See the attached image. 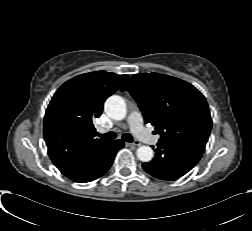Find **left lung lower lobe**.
Returning <instances> with one entry per match:
<instances>
[{"label": "left lung lower lobe", "mask_w": 252, "mask_h": 231, "mask_svg": "<svg viewBox=\"0 0 252 231\" xmlns=\"http://www.w3.org/2000/svg\"><path fill=\"white\" fill-rule=\"evenodd\" d=\"M157 145L155 158L142 166L147 173L162 180L185 175L196 165L205 150L204 144L190 140H159Z\"/></svg>", "instance_id": "0a47b994"}]
</instances>
